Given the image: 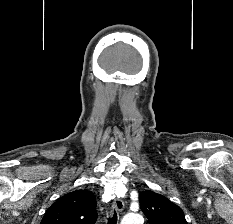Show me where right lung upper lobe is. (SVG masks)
Segmentation results:
<instances>
[{"label":"right lung upper lobe","instance_id":"obj_1","mask_svg":"<svg viewBox=\"0 0 233 224\" xmlns=\"http://www.w3.org/2000/svg\"><path fill=\"white\" fill-rule=\"evenodd\" d=\"M97 217L95 195L76 190L53 203L40 224H95Z\"/></svg>","mask_w":233,"mask_h":224}]
</instances>
